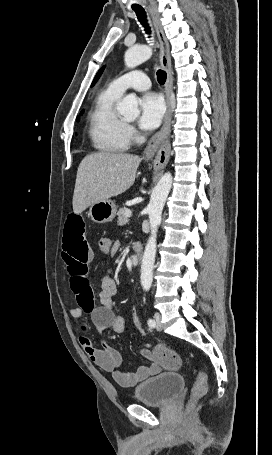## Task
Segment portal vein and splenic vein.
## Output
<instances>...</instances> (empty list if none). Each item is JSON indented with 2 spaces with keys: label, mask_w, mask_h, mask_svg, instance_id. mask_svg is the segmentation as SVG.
I'll use <instances>...</instances> for the list:
<instances>
[{
  "label": "portal vein and splenic vein",
  "mask_w": 272,
  "mask_h": 455,
  "mask_svg": "<svg viewBox=\"0 0 272 455\" xmlns=\"http://www.w3.org/2000/svg\"><path fill=\"white\" fill-rule=\"evenodd\" d=\"M132 216V211L131 210H127L126 211V217L130 218Z\"/></svg>",
  "instance_id": "obj_1"
}]
</instances>
